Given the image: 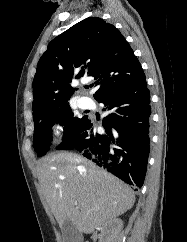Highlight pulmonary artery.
I'll return each mask as SVG.
<instances>
[{
	"label": "pulmonary artery",
	"mask_w": 187,
	"mask_h": 242,
	"mask_svg": "<svg viewBox=\"0 0 187 242\" xmlns=\"http://www.w3.org/2000/svg\"><path fill=\"white\" fill-rule=\"evenodd\" d=\"M80 106H81L82 108H88V107L90 106V102H89V100L86 99V98H82V99L80 100Z\"/></svg>",
	"instance_id": "1"
}]
</instances>
